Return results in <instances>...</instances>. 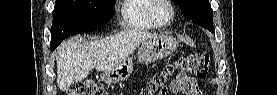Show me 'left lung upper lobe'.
I'll list each match as a JSON object with an SVG mask.
<instances>
[{"mask_svg": "<svg viewBox=\"0 0 277 95\" xmlns=\"http://www.w3.org/2000/svg\"><path fill=\"white\" fill-rule=\"evenodd\" d=\"M182 9V14L195 24L213 32V10L209 0H174Z\"/></svg>", "mask_w": 277, "mask_h": 95, "instance_id": "obj_1", "label": "left lung upper lobe"}]
</instances>
